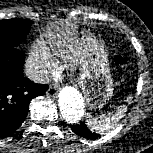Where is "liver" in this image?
I'll list each match as a JSON object with an SVG mask.
<instances>
[{
    "mask_svg": "<svg viewBox=\"0 0 153 153\" xmlns=\"http://www.w3.org/2000/svg\"><path fill=\"white\" fill-rule=\"evenodd\" d=\"M77 26L73 23L66 22V24H61L54 26V30L51 32V37L57 40V47H63L65 49L61 50L62 57L70 63L71 66H75L77 63L80 64L81 61V50L78 47L76 41Z\"/></svg>",
    "mask_w": 153,
    "mask_h": 153,
    "instance_id": "liver-1",
    "label": "liver"
}]
</instances>
